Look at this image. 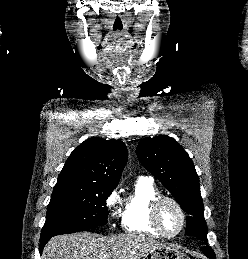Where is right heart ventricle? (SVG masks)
<instances>
[{"label":"right heart ventricle","mask_w":248,"mask_h":259,"mask_svg":"<svg viewBox=\"0 0 248 259\" xmlns=\"http://www.w3.org/2000/svg\"><path fill=\"white\" fill-rule=\"evenodd\" d=\"M161 195L160 189L148 177H139L125 199L121 223L129 233L159 237L150 219L152 202Z\"/></svg>","instance_id":"obj_1"}]
</instances>
